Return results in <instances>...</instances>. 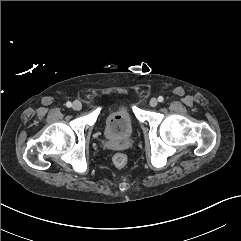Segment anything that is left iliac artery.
Wrapping results in <instances>:
<instances>
[{
  "label": "left iliac artery",
  "mask_w": 241,
  "mask_h": 241,
  "mask_svg": "<svg viewBox=\"0 0 241 241\" xmlns=\"http://www.w3.org/2000/svg\"><path fill=\"white\" fill-rule=\"evenodd\" d=\"M163 100H164V98H163L162 96H159V97H158V101H159V102H163Z\"/></svg>",
  "instance_id": "obj_1"
}]
</instances>
